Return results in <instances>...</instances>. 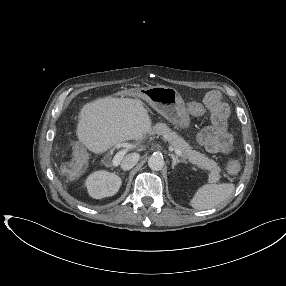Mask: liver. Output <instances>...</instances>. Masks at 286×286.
I'll list each match as a JSON object with an SVG mask.
<instances>
[{
	"label": "liver",
	"mask_w": 286,
	"mask_h": 286,
	"mask_svg": "<svg viewBox=\"0 0 286 286\" xmlns=\"http://www.w3.org/2000/svg\"><path fill=\"white\" fill-rule=\"evenodd\" d=\"M76 135L88 150L104 153L151 130L148 110L139 99L107 96L86 103L78 116Z\"/></svg>",
	"instance_id": "obj_1"
}]
</instances>
